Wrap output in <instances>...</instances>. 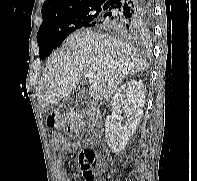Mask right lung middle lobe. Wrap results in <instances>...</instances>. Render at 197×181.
<instances>
[{
	"mask_svg": "<svg viewBox=\"0 0 197 181\" xmlns=\"http://www.w3.org/2000/svg\"><path fill=\"white\" fill-rule=\"evenodd\" d=\"M104 12L102 5L84 6L43 18L37 33L40 59H45L73 31L89 27Z\"/></svg>",
	"mask_w": 197,
	"mask_h": 181,
	"instance_id": "1",
	"label": "right lung middle lobe"
}]
</instances>
